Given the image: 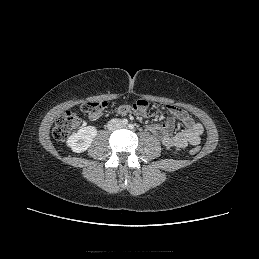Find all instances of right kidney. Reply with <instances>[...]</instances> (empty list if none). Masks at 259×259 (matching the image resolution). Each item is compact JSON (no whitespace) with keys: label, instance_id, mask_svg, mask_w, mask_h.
Returning <instances> with one entry per match:
<instances>
[{"label":"right kidney","instance_id":"ca27d5eb","mask_svg":"<svg viewBox=\"0 0 259 259\" xmlns=\"http://www.w3.org/2000/svg\"><path fill=\"white\" fill-rule=\"evenodd\" d=\"M96 135L97 129L94 126L81 128L77 133L72 134L68 138L67 145L73 150V152H84L91 146Z\"/></svg>","mask_w":259,"mask_h":259}]
</instances>
